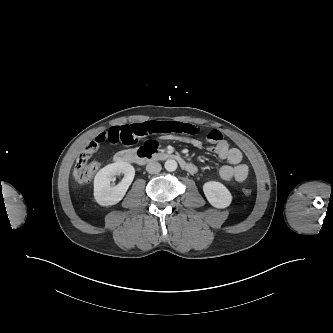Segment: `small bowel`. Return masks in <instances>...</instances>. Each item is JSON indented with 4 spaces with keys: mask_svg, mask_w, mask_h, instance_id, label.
I'll return each mask as SVG.
<instances>
[{
    "mask_svg": "<svg viewBox=\"0 0 333 333\" xmlns=\"http://www.w3.org/2000/svg\"><path fill=\"white\" fill-rule=\"evenodd\" d=\"M200 134V128L189 123L148 121L112 127L107 132L102 133L98 137V141H109L113 144L122 143L126 146H133L145 136L160 135L162 139L181 140L190 143L197 149H201L203 143L198 138ZM206 139L213 144V146L209 147V151L228 163L219 170L221 179L225 181L234 179L238 182H243L249 174V168L242 163L241 151L230 147L219 131H209L206 134ZM190 165L191 169L189 172L192 174L197 173V166L192 163Z\"/></svg>",
    "mask_w": 333,
    "mask_h": 333,
    "instance_id": "1",
    "label": "small bowel"
}]
</instances>
